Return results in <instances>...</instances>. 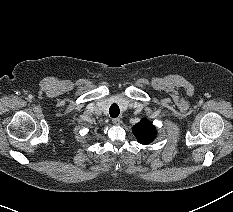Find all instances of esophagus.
<instances>
[{
  "instance_id": "obj_1",
  "label": "esophagus",
  "mask_w": 233,
  "mask_h": 212,
  "mask_svg": "<svg viewBox=\"0 0 233 212\" xmlns=\"http://www.w3.org/2000/svg\"><path fill=\"white\" fill-rule=\"evenodd\" d=\"M112 122H113V124H115V125H119V124H121V119L120 118H113L112 119Z\"/></svg>"
}]
</instances>
